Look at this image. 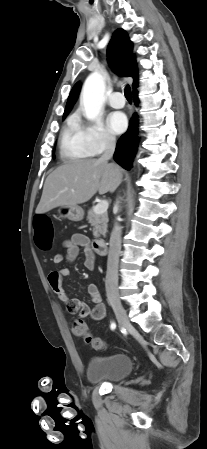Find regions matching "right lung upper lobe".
<instances>
[{"label": "right lung upper lobe", "instance_id": "obj_1", "mask_svg": "<svg viewBox=\"0 0 207 449\" xmlns=\"http://www.w3.org/2000/svg\"><path fill=\"white\" fill-rule=\"evenodd\" d=\"M107 55L109 64L117 73L133 78V89L136 90L138 86L137 65L132 55V43L124 30L117 29L113 33ZM79 91L80 83H76L69 94L63 118L67 116L76 102Z\"/></svg>", "mask_w": 207, "mask_h": 449}]
</instances>
